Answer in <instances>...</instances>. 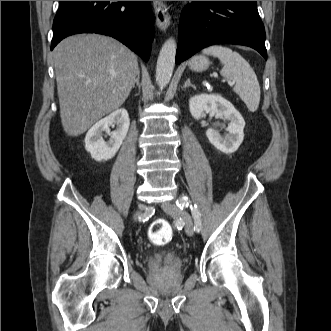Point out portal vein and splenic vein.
I'll list each match as a JSON object with an SVG mask.
<instances>
[{"label":"portal vein and splenic vein","instance_id":"18ae733b","mask_svg":"<svg viewBox=\"0 0 331 331\" xmlns=\"http://www.w3.org/2000/svg\"><path fill=\"white\" fill-rule=\"evenodd\" d=\"M230 84H231V85H233V84H234V82H230Z\"/></svg>","mask_w":331,"mask_h":331}]
</instances>
